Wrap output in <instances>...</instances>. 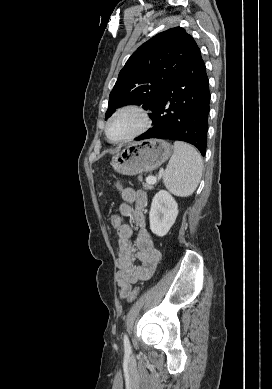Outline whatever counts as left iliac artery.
Here are the masks:
<instances>
[{
    "instance_id": "44dca946",
    "label": "left iliac artery",
    "mask_w": 272,
    "mask_h": 389,
    "mask_svg": "<svg viewBox=\"0 0 272 389\" xmlns=\"http://www.w3.org/2000/svg\"><path fill=\"white\" fill-rule=\"evenodd\" d=\"M124 349H125V352L126 353H131V346H130V342H129V339L127 337L126 334H124Z\"/></svg>"
}]
</instances>
